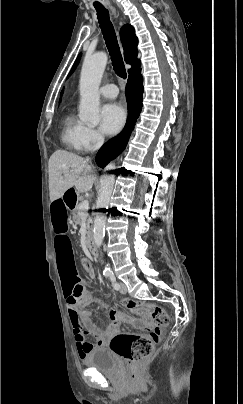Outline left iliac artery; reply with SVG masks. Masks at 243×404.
I'll return each mask as SVG.
<instances>
[{
  "label": "left iliac artery",
  "instance_id": "left-iliac-artery-1",
  "mask_svg": "<svg viewBox=\"0 0 243 404\" xmlns=\"http://www.w3.org/2000/svg\"><path fill=\"white\" fill-rule=\"evenodd\" d=\"M107 277H108L109 280L111 281L113 288H114L115 290H119L120 286H119V284L117 283L114 274L110 272Z\"/></svg>",
  "mask_w": 243,
  "mask_h": 404
}]
</instances>
